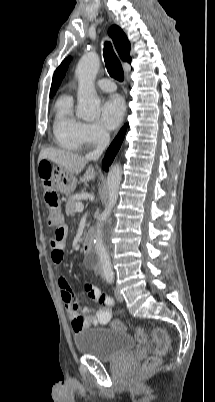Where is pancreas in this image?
Segmentation results:
<instances>
[{"mask_svg":"<svg viewBox=\"0 0 215 402\" xmlns=\"http://www.w3.org/2000/svg\"><path fill=\"white\" fill-rule=\"evenodd\" d=\"M78 202V199L74 195L69 196L65 209L66 215L73 216L76 213L75 205Z\"/></svg>","mask_w":215,"mask_h":402,"instance_id":"pancreas-1","label":"pancreas"}]
</instances>
